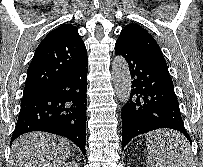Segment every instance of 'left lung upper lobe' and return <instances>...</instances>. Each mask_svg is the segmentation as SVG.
Listing matches in <instances>:
<instances>
[{
    "mask_svg": "<svg viewBox=\"0 0 203 167\" xmlns=\"http://www.w3.org/2000/svg\"><path fill=\"white\" fill-rule=\"evenodd\" d=\"M117 42L125 44L133 50L156 61L166 63L159 45L152 36L139 25L129 24L126 26L118 37Z\"/></svg>",
    "mask_w": 203,
    "mask_h": 167,
    "instance_id": "left-lung-upper-lobe-1",
    "label": "left lung upper lobe"
}]
</instances>
